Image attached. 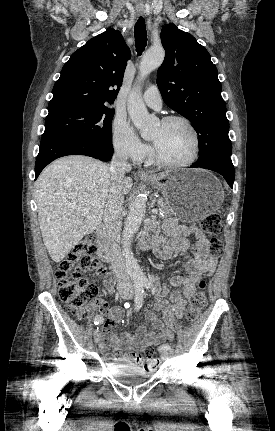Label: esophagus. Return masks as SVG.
Returning a JSON list of instances; mask_svg holds the SVG:
<instances>
[{"label": "esophagus", "mask_w": 275, "mask_h": 431, "mask_svg": "<svg viewBox=\"0 0 275 431\" xmlns=\"http://www.w3.org/2000/svg\"><path fill=\"white\" fill-rule=\"evenodd\" d=\"M137 12H138L140 15H144V14H145V9H144V8H137ZM137 173H138V175H142V176H148V175H151V173H150V172H148V171H144V170H139Z\"/></svg>", "instance_id": "esophagus-1"}]
</instances>
